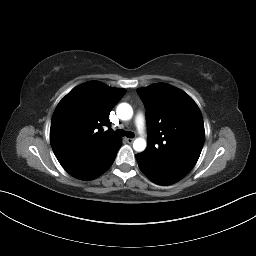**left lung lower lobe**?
Listing matches in <instances>:
<instances>
[{"label":"left lung lower lobe","mask_w":256,"mask_h":256,"mask_svg":"<svg viewBox=\"0 0 256 256\" xmlns=\"http://www.w3.org/2000/svg\"><path fill=\"white\" fill-rule=\"evenodd\" d=\"M141 171L154 183L158 185H170L181 180L183 177L167 172L158 166L153 165L143 153L136 155Z\"/></svg>","instance_id":"0a47b994"}]
</instances>
